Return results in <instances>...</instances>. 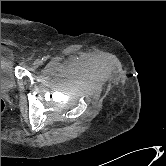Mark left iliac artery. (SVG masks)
Masks as SVG:
<instances>
[{
  "instance_id": "44dca946",
  "label": "left iliac artery",
  "mask_w": 166,
  "mask_h": 166,
  "mask_svg": "<svg viewBox=\"0 0 166 166\" xmlns=\"http://www.w3.org/2000/svg\"><path fill=\"white\" fill-rule=\"evenodd\" d=\"M41 60L42 62H45L47 60V57H43Z\"/></svg>"
}]
</instances>
